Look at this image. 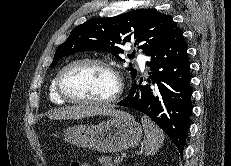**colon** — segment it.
Masks as SVG:
<instances>
[{
	"label": "colon",
	"mask_w": 231,
	"mask_h": 166,
	"mask_svg": "<svg viewBox=\"0 0 231 166\" xmlns=\"http://www.w3.org/2000/svg\"><path fill=\"white\" fill-rule=\"evenodd\" d=\"M71 166H86V164H83V163H80L77 161H73V162H71Z\"/></svg>",
	"instance_id": "colon-1"
}]
</instances>
